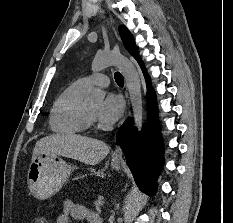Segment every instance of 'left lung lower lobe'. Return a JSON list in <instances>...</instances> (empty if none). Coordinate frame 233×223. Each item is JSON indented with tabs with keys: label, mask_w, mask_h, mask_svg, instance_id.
Here are the masks:
<instances>
[{
	"label": "left lung lower lobe",
	"mask_w": 233,
	"mask_h": 223,
	"mask_svg": "<svg viewBox=\"0 0 233 223\" xmlns=\"http://www.w3.org/2000/svg\"><path fill=\"white\" fill-rule=\"evenodd\" d=\"M136 60L147 80L149 122L139 135L133 128L131 118L119 128L117 141L124 151L127 164L142 191L152 195L156 190V180L163 166V147L159 138L158 123L155 121L156 101L149 77L139 56Z\"/></svg>",
	"instance_id": "obj_1"
}]
</instances>
